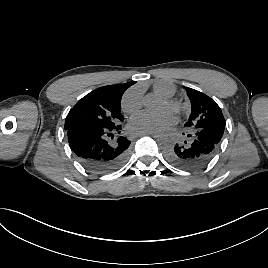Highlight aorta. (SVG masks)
Wrapping results in <instances>:
<instances>
[{"instance_id": "obj_1", "label": "aorta", "mask_w": 268, "mask_h": 268, "mask_svg": "<svg viewBox=\"0 0 268 268\" xmlns=\"http://www.w3.org/2000/svg\"><path fill=\"white\" fill-rule=\"evenodd\" d=\"M146 104L150 108H158V103L156 101L152 100L150 97H147ZM154 138L157 142L162 143L166 140L167 135L164 131L159 130L155 133Z\"/></svg>"}]
</instances>
